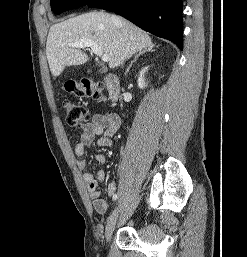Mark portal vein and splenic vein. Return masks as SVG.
I'll use <instances>...</instances> for the list:
<instances>
[{"instance_id": "18ae733b", "label": "portal vein and splenic vein", "mask_w": 247, "mask_h": 257, "mask_svg": "<svg viewBox=\"0 0 247 257\" xmlns=\"http://www.w3.org/2000/svg\"><path fill=\"white\" fill-rule=\"evenodd\" d=\"M69 46L70 47H74V48H85V47H90L92 49V52L101 57V59L104 61V62H108L110 61V56L109 55H106V54H103V51L102 49L99 47V45L92 41V40H89V39H82V40H78V41H75L73 43H69Z\"/></svg>"}]
</instances>
